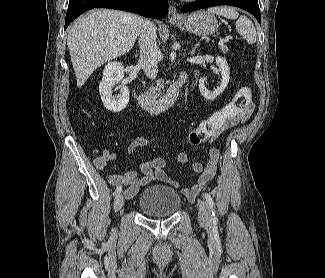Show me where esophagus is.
<instances>
[{
  "label": "esophagus",
  "instance_id": "1",
  "mask_svg": "<svg viewBox=\"0 0 325 278\" xmlns=\"http://www.w3.org/2000/svg\"><path fill=\"white\" fill-rule=\"evenodd\" d=\"M168 19L170 21H179L182 19L181 15L178 13L176 8L172 5L169 7Z\"/></svg>",
  "mask_w": 325,
  "mask_h": 278
}]
</instances>
